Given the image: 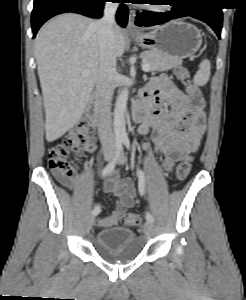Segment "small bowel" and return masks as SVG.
Returning <instances> with one entry per match:
<instances>
[{
    "instance_id": "small-bowel-1",
    "label": "small bowel",
    "mask_w": 246,
    "mask_h": 300,
    "mask_svg": "<svg viewBox=\"0 0 246 300\" xmlns=\"http://www.w3.org/2000/svg\"><path fill=\"white\" fill-rule=\"evenodd\" d=\"M142 99L150 109L139 127L140 134H150V140L143 143V148L162 155V168L168 173L188 152L199 148L206 127L203 107L196 108L191 98L165 74L151 80ZM96 149L95 143L87 147L89 152ZM60 180L67 188L77 190L76 178L60 177ZM104 191L117 196L118 202L109 216L96 221L102 228L118 224L123 213L134 205L136 196L132 180L118 174L105 182Z\"/></svg>"
}]
</instances>
